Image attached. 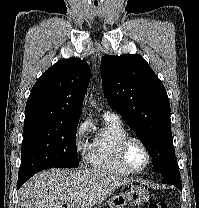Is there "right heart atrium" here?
Returning a JSON list of instances; mask_svg holds the SVG:
<instances>
[{"label":"right heart atrium","mask_w":199,"mask_h":208,"mask_svg":"<svg viewBox=\"0 0 199 208\" xmlns=\"http://www.w3.org/2000/svg\"><path fill=\"white\" fill-rule=\"evenodd\" d=\"M91 129V123L85 119L78 123L74 133V146L76 152L86 158L89 153V145L87 142V136Z\"/></svg>","instance_id":"d8ad5b80"}]
</instances>
